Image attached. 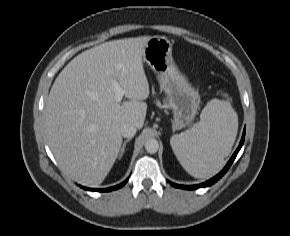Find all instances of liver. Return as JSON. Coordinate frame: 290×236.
I'll use <instances>...</instances> for the list:
<instances>
[{
  "label": "liver",
  "instance_id": "6515ba94",
  "mask_svg": "<svg viewBox=\"0 0 290 236\" xmlns=\"http://www.w3.org/2000/svg\"><path fill=\"white\" fill-rule=\"evenodd\" d=\"M151 36L105 42L73 58L55 79L45 106L51 151L61 170L98 187L122 145L120 128L143 127L149 83L143 53ZM116 82L130 101L116 102Z\"/></svg>",
  "mask_w": 290,
  "mask_h": 236
}]
</instances>
